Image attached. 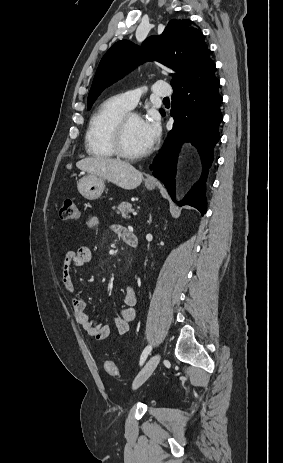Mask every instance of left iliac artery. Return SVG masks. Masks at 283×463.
Instances as JSON below:
<instances>
[{"instance_id": "1", "label": "left iliac artery", "mask_w": 283, "mask_h": 463, "mask_svg": "<svg viewBox=\"0 0 283 463\" xmlns=\"http://www.w3.org/2000/svg\"><path fill=\"white\" fill-rule=\"evenodd\" d=\"M151 350H152V346H151V345L147 346V347L143 350L142 355H141V358H140V365H142V364L145 362V360H146L148 354L151 352Z\"/></svg>"}]
</instances>
